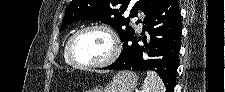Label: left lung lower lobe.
I'll return each instance as SVG.
<instances>
[{"instance_id": "left-lung-lower-lobe-1", "label": "left lung lower lobe", "mask_w": 225, "mask_h": 92, "mask_svg": "<svg viewBox=\"0 0 225 92\" xmlns=\"http://www.w3.org/2000/svg\"><path fill=\"white\" fill-rule=\"evenodd\" d=\"M143 23V31L148 35L142 33L144 36L139 40L144 44L135 42V36L126 40L118 59L103 69L153 70L163 80L167 91L173 92L182 32L177 1L164 0L146 15Z\"/></svg>"}]
</instances>
